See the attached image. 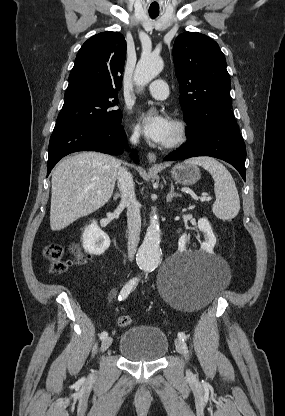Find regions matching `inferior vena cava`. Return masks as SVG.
I'll return each mask as SVG.
<instances>
[{
    "label": "inferior vena cava",
    "instance_id": "602c4592",
    "mask_svg": "<svg viewBox=\"0 0 285 416\" xmlns=\"http://www.w3.org/2000/svg\"><path fill=\"white\" fill-rule=\"evenodd\" d=\"M132 144H137V136H132ZM118 188L121 192V202L127 208V224H128V258L133 260L136 254L140 230H141V216L140 204L135 198L134 184L131 174L125 168H119L117 174Z\"/></svg>",
    "mask_w": 285,
    "mask_h": 416
}]
</instances>
